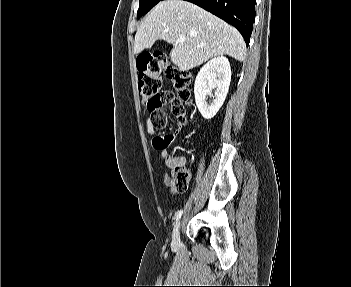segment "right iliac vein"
Returning <instances> with one entry per match:
<instances>
[{
	"mask_svg": "<svg viewBox=\"0 0 351 287\" xmlns=\"http://www.w3.org/2000/svg\"><path fill=\"white\" fill-rule=\"evenodd\" d=\"M180 226H181L180 221H178L174 226L173 233H172L173 247H177L180 243Z\"/></svg>",
	"mask_w": 351,
	"mask_h": 287,
	"instance_id": "obj_1",
	"label": "right iliac vein"
}]
</instances>
